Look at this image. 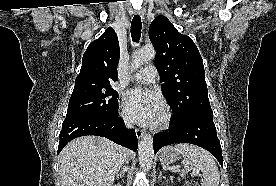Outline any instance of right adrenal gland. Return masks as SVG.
I'll list each match as a JSON object with an SVG mask.
<instances>
[{"label":"right adrenal gland","mask_w":276,"mask_h":186,"mask_svg":"<svg viewBox=\"0 0 276 186\" xmlns=\"http://www.w3.org/2000/svg\"><path fill=\"white\" fill-rule=\"evenodd\" d=\"M126 172H127V167H126V166H123V167L121 168L120 173L116 175V178L119 179V177H121V178L124 177V175H125Z\"/></svg>","instance_id":"1"}]
</instances>
